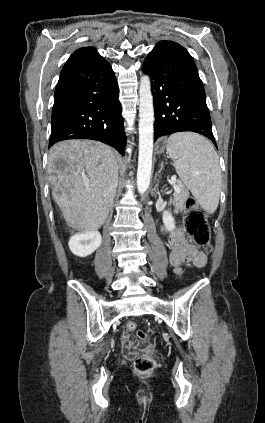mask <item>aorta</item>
Returning a JSON list of instances; mask_svg holds the SVG:
<instances>
[{
    "instance_id": "1",
    "label": "aorta",
    "mask_w": 265,
    "mask_h": 423,
    "mask_svg": "<svg viewBox=\"0 0 265 423\" xmlns=\"http://www.w3.org/2000/svg\"><path fill=\"white\" fill-rule=\"evenodd\" d=\"M139 97V157L137 189L140 194H144L150 184L154 138L153 96L151 92V81L148 75H143L140 79Z\"/></svg>"
}]
</instances>
